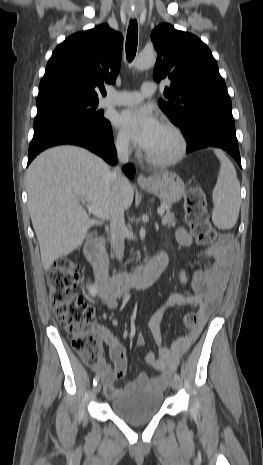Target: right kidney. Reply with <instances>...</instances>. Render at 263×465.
Returning a JSON list of instances; mask_svg holds the SVG:
<instances>
[{"instance_id":"ca27d5eb","label":"right kidney","mask_w":263,"mask_h":465,"mask_svg":"<svg viewBox=\"0 0 263 465\" xmlns=\"http://www.w3.org/2000/svg\"><path fill=\"white\" fill-rule=\"evenodd\" d=\"M87 289H88L89 294L92 297H95L97 295V293H98V289H97L96 285L89 284V285H87Z\"/></svg>"}]
</instances>
